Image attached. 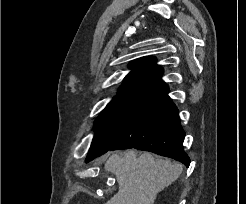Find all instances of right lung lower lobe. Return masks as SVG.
<instances>
[{
	"label": "right lung lower lobe",
	"mask_w": 246,
	"mask_h": 204,
	"mask_svg": "<svg viewBox=\"0 0 246 204\" xmlns=\"http://www.w3.org/2000/svg\"><path fill=\"white\" fill-rule=\"evenodd\" d=\"M168 91L164 85L133 102L109 150L136 148L150 151L188 167L190 159L183 150L185 133ZM95 158H87L86 162Z\"/></svg>",
	"instance_id": "98d812e1"
}]
</instances>
